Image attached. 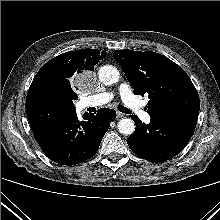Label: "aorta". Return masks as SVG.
Listing matches in <instances>:
<instances>
[{
  "instance_id": "762f6f07",
  "label": "aorta",
  "mask_w": 220,
  "mask_h": 220,
  "mask_svg": "<svg viewBox=\"0 0 220 220\" xmlns=\"http://www.w3.org/2000/svg\"><path fill=\"white\" fill-rule=\"evenodd\" d=\"M100 82L104 85H113L119 81L120 74L116 67L104 65L98 71ZM118 131L123 135H131L135 131V123L130 118H123L117 124Z\"/></svg>"
}]
</instances>
